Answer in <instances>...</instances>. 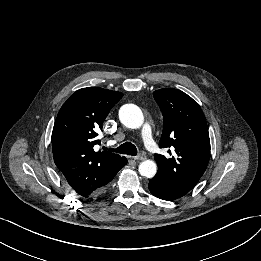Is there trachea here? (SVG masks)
<instances>
[{"instance_id": "trachea-1", "label": "trachea", "mask_w": 261, "mask_h": 261, "mask_svg": "<svg viewBox=\"0 0 261 261\" xmlns=\"http://www.w3.org/2000/svg\"><path fill=\"white\" fill-rule=\"evenodd\" d=\"M111 151L121 153V154H128V155H132V156L137 155L136 146L130 142H125L122 145H120L118 148L111 149Z\"/></svg>"}]
</instances>
